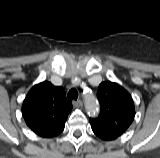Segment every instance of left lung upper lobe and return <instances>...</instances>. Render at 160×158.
Masks as SVG:
<instances>
[{"label": "left lung upper lobe", "mask_w": 160, "mask_h": 158, "mask_svg": "<svg viewBox=\"0 0 160 158\" xmlns=\"http://www.w3.org/2000/svg\"><path fill=\"white\" fill-rule=\"evenodd\" d=\"M97 97L100 102V114L97 118H90V124L121 136L135 116L131 95L119 84L106 81L99 85Z\"/></svg>", "instance_id": "1"}]
</instances>
